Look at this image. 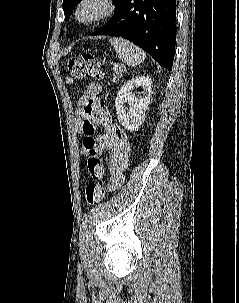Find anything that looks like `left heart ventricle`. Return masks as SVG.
<instances>
[{
  "mask_svg": "<svg viewBox=\"0 0 239 303\" xmlns=\"http://www.w3.org/2000/svg\"><path fill=\"white\" fill-rule=\"evenodd\" d=\"M97 11V6L94 4H88L84 10V16L88 17L93 15Z\"/></svg>",
  "mask_w": 239,
  "mask_h": 303,
  "instance_id": "1",
  "label": "left heart ventricle"
}]
</instances>
